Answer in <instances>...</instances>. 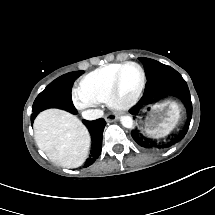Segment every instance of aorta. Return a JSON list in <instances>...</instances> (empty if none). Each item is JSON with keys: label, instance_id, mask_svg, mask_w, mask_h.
<instances>
[{"label": "aorta", "instance_id": "1", "mask_svg": "<svg viewBox=\"0 0 215 215\" xmlns=\"http://www.w3.org/2000/svg\"><path fill=\"white\" fill-rule=\"evenodd\" d=\"M120 122L125 128H132L133 119L130 116H121Z\"/></svg>", "mask_w": 215, "mask_h": 215}]
</instances>
